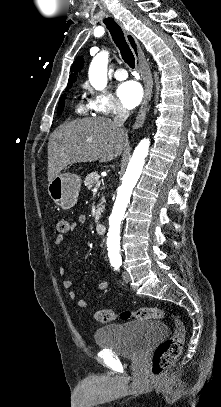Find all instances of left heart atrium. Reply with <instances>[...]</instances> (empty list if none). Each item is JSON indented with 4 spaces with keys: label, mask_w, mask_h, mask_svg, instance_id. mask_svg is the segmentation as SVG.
<instances>
[{
    "label": "left heart atrium",
    "mask_w": 221,
    "mask_h": 407,
    "mask_svg": "<svg viewBox=\"0 0 221 407\" xmlns=\"http://www.w3.org/2000/svg\"><path fill=\"white\" fill-rule=\"evenodd\" d=\"M117 95L125 106L134 108L142 100L143 89L138 82L129 80L119 85Z\"/></svg>",
    "instance_id": "left-heart-atrium-1"
}]
</instances>
